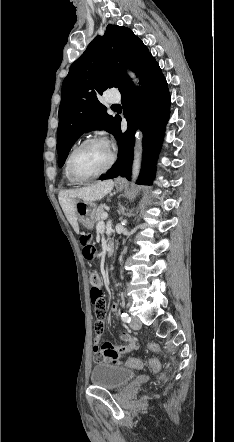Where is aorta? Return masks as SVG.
<instances>
[{"mask_svg": "<svg viewBox=\"0 0 234 442\" xmlns=\"http://www.w3.org/2000/svg\"><path fill=\"white\" fill-rule=\"evenodd\" d=\"M128 74L130 75V77L132 78V80L134 82H138L135 74L131 71H128ZM140 166H141V155H140V151L138 149H135L134 151V160H133V165H132V180L135 181L138 174H139V170H140Z\"/></svg>", "mask_w": 234, "mask_h": 442, "instance_id": "obj_1", "label": "aorta"}]
</instances>
